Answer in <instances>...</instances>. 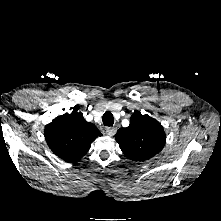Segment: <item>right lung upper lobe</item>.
<instances>
[{"instance_id": "obj_1", "label": "right lung upper lobe", "mask_w": 221, "mask_h": 221, "mask_svg": "<svg viewBox=\"0 0 221 221\" xmlns=\"http://www.w3.org/2000/svg\"><path fill=\"white\" fill-rule=\"evenodd\" d=\"M101 135L97 127L87 122L77 110L55 118L45 127L48 146L67 162L82 158L90 149L91 143Z\"/></svg>"}]
</instances>
